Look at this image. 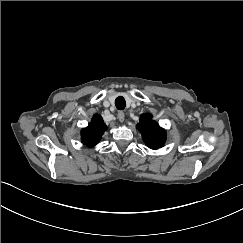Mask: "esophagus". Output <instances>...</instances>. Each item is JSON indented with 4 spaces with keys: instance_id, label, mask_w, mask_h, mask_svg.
I'll return each mask as SVG.
<instances>
[{
    "instance_id": "34e87169",
    "label": "esophagus",
    "mask_w": 243,
    "mask_h": 243,
    "mask_svg": "<svg viewBox=\"0 0 243 243\" xmlns=\"http://www.w3.org/2000/svg\"><path fill=\"white\" fill-rule=\"evenodd\" d=\"M117 117H118V120H119L121 123L124 122V120H125V114H124L122 111H120V112L117 114Z\"/></svg>"
}]
</instances>
